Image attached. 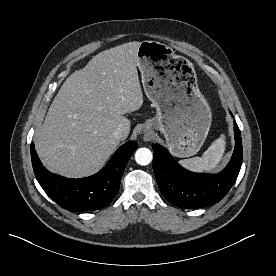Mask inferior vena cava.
<instances>
[{
  "label": "inferior vena cava",
  "mask_w": 276,
  "mask_h": 276,
  "mask_svg": "<svg viewBox=\"0 0 276 276\" xmlns=\"http://www.w3.org/2000/svg\"><path fill=\"white\" fill-rule=\"evenodd\" d=\"M114 137L118 140H124L129 134V128L123 124H119L113 132Z\"/></svg>",
  "instance_id": "obj_1"
}]
</instances>
